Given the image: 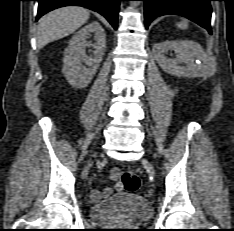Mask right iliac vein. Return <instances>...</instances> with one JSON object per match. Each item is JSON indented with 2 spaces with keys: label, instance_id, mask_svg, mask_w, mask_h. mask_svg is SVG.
I'll use <instances>...</instances> for the list:
<instances>
[{
  "label": "right iliac vein",
  "instance_id": "1",
  "mask_svg": "<svg viewBox=\"0 0 234 231\" xmlns=\"http://www.w3.org/2000/svg\"><path fill=\"white\" fill-rule=\"evenodd\" d=\"M89 167H85L84 170L82 171V178H85L88 174Z\"/></svg>",
  "mask_w": 234,
  "mask_h": 231
}]
</instances>
